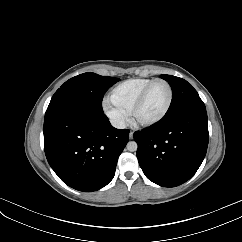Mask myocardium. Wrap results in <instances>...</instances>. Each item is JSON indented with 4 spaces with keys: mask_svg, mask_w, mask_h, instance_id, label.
<instances>
[{
    "mask_svg": "<svg viewBox=\"0 0 242 242\" xmlns=\"http://www.w3.org/2000/svg\"><path fill=\"white\" fill-rule=\"evenodd\" d=\"M162 82L164 84H166V86L168 87L169 90V99L167 102V105L165 107V109L163 110V112L155 119L150 120V121H141L137 119V112L139 110V108L141 107V105L143 104V102L145 101L147 94L149 93V91L151 90V88L156 84ZM173 98H174V93H173V88L171 86V84L162 78H157L154 79L151 83H149L144 89L143 91L140 93V95L138 96V98L136 99V101L134 102L132 108H131V117H132V121L134 124L141 126V127H152L155 126L157 124H159L161 121L164 120V118L167 116V114L169 113L172 103H173Z\"/></svg>",
    "mask_w": 242,
    "mask_h": 242,
    "instance_id": "myocardium-1",
    "label": "myocardium"
}]
</instances>
